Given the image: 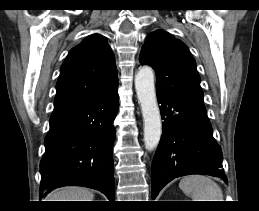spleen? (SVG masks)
Returning <instances> with one entry per match:
<instances>
[{"label":"spleen","instance_id":"3e777b00","mask_svg":"<svg viewBox=\"0 0 259 211\" xmlns=\"http://www.w3.org/2000/svg\"><path fill=\"white\" fill-rule=\"evenodd\" d=\"M179 187L192 198V201H224L220 186L205 175L185 176L181 179Z\"/></svg>","mask_w":259,"mask_h":211}]
</instances>
